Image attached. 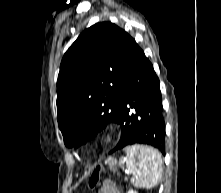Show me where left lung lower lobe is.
Returning <instances> with one entry per match:
<instances>
[{"mask_svg":"<svg viewBox=\"0 0 221 193\" xmlns=\"http://www.w3.org/2000/svg\"><path fill=\"white\" fill-rule=\"evenodd\" d=\"M119 94L118 124L122 128V136L113 151L129 145L145 144L158 148L165 155V122L160 82L141 48L128 66ZM149 108L154 111L156 121L148 127L143 126L141 120Z\"/></svg>","mask_w":221,"mask_h":193,"instance_id":"1","label":"left lung lower lobe"}]
</instances>
